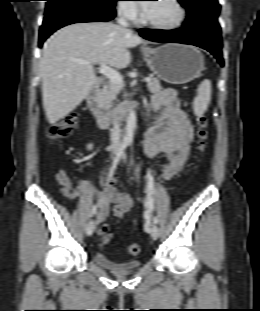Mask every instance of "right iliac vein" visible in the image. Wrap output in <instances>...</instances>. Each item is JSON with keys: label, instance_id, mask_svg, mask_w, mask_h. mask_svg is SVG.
I'll return each instance as SVG.
<instances>
[{"label": "right iliac vein", "instance_id": "63e3f726", "mask_svg": "<svg viewBox=\"0 0 260 311\" xmlns=\"http://www.w3.org/2000/svg\"><path fill=\"white\" fill-rule=\"evenodd\" d=\"M113 152H115V149H113ZM95 230V222L93 220H90L86 226V235L91 236Z\"/></svg>", "mask_w": 260, "mask_h": 311}]
</instances>
